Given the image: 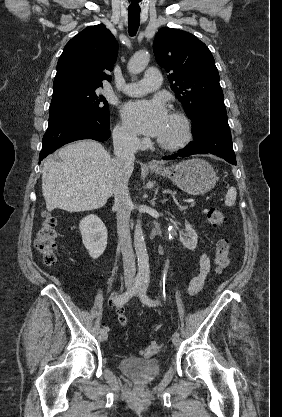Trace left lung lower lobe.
<instances>
[{
  "mask_svg": "<svg viewBox=\"0 0 282 417\" xmlns=\"http://www.w3.org/2000/svg\"><path fill=\"white\" fill-rule=\"evenodd\" d=\"M198 117V120L193 122L192 130L195 142L189 143L179 153L164 156L162 159L169 160L211 153L225 159L232 165H236L226 108L206 109L201 111Z\"/></svg>",
  "mask_w": 282,
  "mask_h": 417,
  "instance_id": "0a47b994",
  "label": "left lung lower lobe"
}]
</instances>
